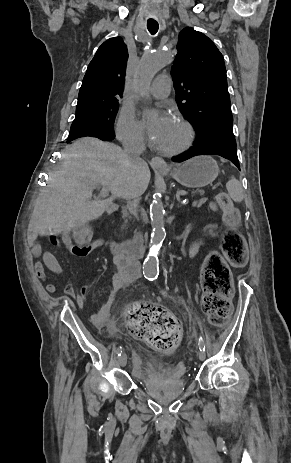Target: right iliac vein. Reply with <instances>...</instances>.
<instances>
[{
  "instance_id": "right-iliac-vein-1",
  "label": "right iliac vein",
  "mask_w": 291,
  "mask_h": 463,
  "mask_svg": "<svg viewBox=\"0 0 291 463\" xmlns=\"http://www.w3.org/2000/svg\"><path fill=\"white\" fill-rule=\"evenodd\" d=\"M118 362L120 364V366L122 367H125L126 364H127V356L125 353H122L119 358H118Z\"/></svg>"
}]
</instances>
